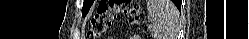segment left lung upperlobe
Wrapping results in <instances>:
<instances>
[{"label": "left lung upper lobe", "mask_w": 249, "mask_h": 39, "mask_svg": "<svg viewBox=\"0 0 249 39\" xmlns=\"http://www.w3.org/2000/svg\"><path fill=\"white\" fill-rule=\"evenodd\" d=\"M92 3H93L92 0H85L84 1V5H83V8H82V14L83 15H86V13L89 11Z\"/></svg>", "instance_id": "obj_1"}]
</instances>
